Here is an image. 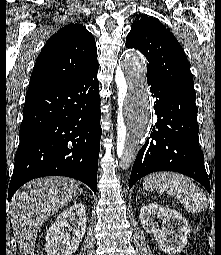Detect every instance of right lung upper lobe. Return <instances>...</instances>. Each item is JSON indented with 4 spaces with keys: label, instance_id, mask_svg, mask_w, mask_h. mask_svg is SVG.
<instances>
[{
    "label": "right lung upper lobe",
    "instance_id": "obj_1",
    "mask_svg": "<svg viewBox=\"0 0 221 255\" xmlns=\"http://www.w3.org/2000/svg\"><path fill=\"white\" fill-rule=\"evenodd\" d=\"M98 66L93 35L81 24L70 23L52 35L40 52L28 91L74 79Z\"/></svg>",
    "mask_w": 221,
    "mask_h": 255
}]
</instances>
